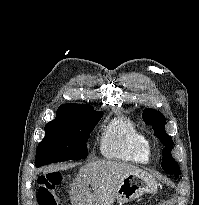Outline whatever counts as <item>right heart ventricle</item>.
Instances as JSON below:
<instances>
[{
    "instance_id": "obj_1",
    "label": "right heart ventricle",
    "mask_w": 199,
    "mask_h": 205,
    "mask_svg": "<svg viewBox=\"0 0 199 205\" xmlns=\"http://www.w3.org/2000/svg\"><path fill=\"white\" fill-rule=\"evenodd\" d=\"M99 149L106 158L138 164L149 162L151 155L145 134L125 118L109 123L101 134Z\"/></svg>"
}]
</instances>
